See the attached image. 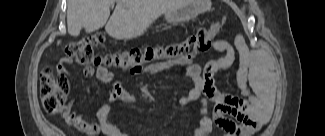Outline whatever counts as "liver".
Segmentation results:
<instances>
[{
  "label": "liver",
  "instance_id": "liver-1",
  "mask_svg": "<svg viewBox=\"0 0 325 136\" xmlns=\"http://www.w3.org/2000/svg\"><path fill=\"white\" fill-rule=\"evenodd\" d=\"M114 2L116 7L109 18L110 6ZM186 2L187 0H68L67 29L71 36L76 37L82 28L87 33H92L106 25V32L114 39H132L142 35L159 16L180 9Z\"/></svg>",
  "mask_w": 325,
  "mask_h": 136
}]
</instances>
